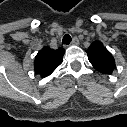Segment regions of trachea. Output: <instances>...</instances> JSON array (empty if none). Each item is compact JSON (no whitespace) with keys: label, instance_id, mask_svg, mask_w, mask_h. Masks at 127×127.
I'll return each mask as SVG.
<instances>
[{"label":"trachea","instance_id":"1","mask_svg":"<svg viewBox=\"0 0 127 127\" xmlns=\"http://www.w3.org/2000/svg\"><path fill=\"white\" fill-rule=\"evenodd\" d=\"M62 42H63V44L68 45L71 42L70 35L69 34H65L64 37H63V39H62Z\"/></svg>","mask_w":127,"mask_h":127}]
</instances>
